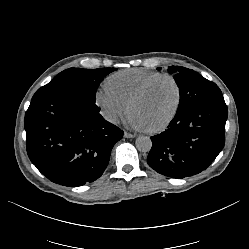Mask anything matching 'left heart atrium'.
Instances as JSON below:
<instances>
[{
  "instance_id": "1",
  "label": "left heart atrium",
  "mask_w": 249,
  "mask_h": 249,
  "mask_svg": "<svg viewBox=\"0 0 249 249\" xmlns=\"http://www.w3.org/2000/svg\"><path fill=\"white\" fill-rule=\"evenodd\" d=\"M125 121L131 128H133L135 130H139V131L146 130V127L141 122L138 114L133 110L128 111V113L126 114V117H125Z\"/></svg>"
}]
</instances>
